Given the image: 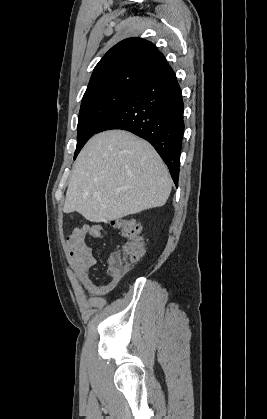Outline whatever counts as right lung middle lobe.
Segmentation results:
<instances>
[{"label":"right lung middle lobe","instance_id":"1","mask_svg":"<svg viewBox=\"0 0 267 419\" xmlns=\"http://www.w3.org/2000/svg\"><path fill=\"white\" fill-rule=\"evenodd\" d=\"M129 87L99 92L82 99L77 126V146L74 159L88 141L96 134L103 122L112 115L137 89Z\"/></svg>","mask_w":267,"mask_h":419}]
</instances>
